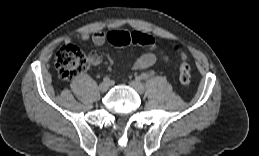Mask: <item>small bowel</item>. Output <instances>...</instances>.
<instances>
[{
  "label": "small bowel",
  "instance_id": "small-bowel-1",
  "mask_svg": "<svg viewBox=\"0 0 259 156\" xmlns=\"http://www.w3.org/2000/svg\"><path fill=\"white\" fill-rule=\"evenodd\" d=\"M107 35L108 33H105L102 31L96 32L92 35L88 33H81L78 36L74 37L73 39L78 40L80 42H87L91 40L95 45L102 46L108 40ZM157 45L158 43L154 41L149 46V48H147L146 51L136 59V61L133 63V69L141 70V69H146L153 66L157 61V56L154 53V50L156 49ZM160 56L163 60L168 59L167 55L164 52H162ZM101 60H102V55L99 52H93L90 54V61L92 64L96 65L100 63Z\"/></svg>",
  "mask_w": 259,
  "mask_h": 156
}]
</instances>
